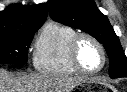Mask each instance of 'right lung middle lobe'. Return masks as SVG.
I'll list each match as a JSON object with an SVG mask.
<instances>
[{
    "mask_svg": "<svg viewBox=\"0 0 127 92\" xmlns=\"http://www.w3.org/2000/svg\"><path fill=\"white\" fill-rule=\"evenodd\" d=\"M39 28L0 32V64H26L29 45Z\"/></svg>",
    "mask_w": 127,
    "mask_h": 92,
    "instance_id": "dd1d6c3e",
    "label": "right lung middle lobe"
}]
</instances>
